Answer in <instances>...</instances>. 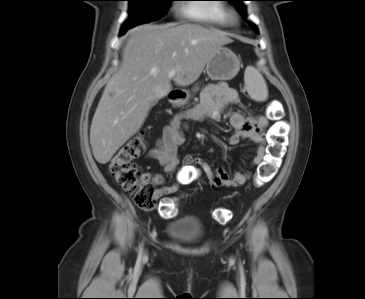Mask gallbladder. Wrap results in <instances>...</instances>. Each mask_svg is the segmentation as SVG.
<instances>
[{
    "label": "gallbladder",
    "instance_id": "gallbladder-1",
    "mask_svg": "<svg viewBox=\"0 0 365 299\" xmlns=\"http://www.w3.org/2000/svg\"><path fill=\"white\" fill-rule=\"evenodd\" d=\"M157 103V101H153L151 104V107L154 106Z\"/></svg>",
    "mask_w": 365,
    "mask_h": 299
}]
</instances>
